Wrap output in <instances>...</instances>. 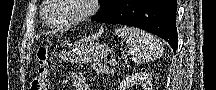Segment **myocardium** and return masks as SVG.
Segmentation results:
<instances>
[{"mask_svg": "<svg viewBox=\"0 0 216 90\" xmlns=\"http://www.w3.org/2000/svg\"><path fill=\"white\" fill-rule=\"evenodd\" d=\"M49 2H53V8H51V11H47L45 17L42 18L45 26L54 31H64L86 21L93 14L95 10V6L93 3H99V0H76V1L49 0ZM64 3L80 5L81 6L80 13L78 14V16L75 17L73 21L69 23H65V24L51 23L48 18H50L51 15H56V12H60V9H62V4Z\"/></svg>", "mask_w": 216, "mask_h": 90, "instance_id": "obj_1", "label": "myocardium"}]
</instances>
